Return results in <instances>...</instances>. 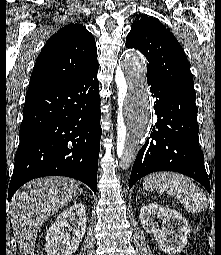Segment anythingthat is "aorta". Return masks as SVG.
Returning a JSON list of instances; mask_svg holds the SVG:
<instances>
[{
	"label": "aorta",
	"instance_id": "762f6f07",
	"mask_svg": "<svg viewBox=\"0 0 221 255\" xmlns=\"http://www.w3.org/2000/svg\"><path fill=\"white\" fill-rule=\"evenodd\" d=\"M116 83L124 122L117 143V156L125 164H130L151 126V99L142 54L134 50L125 53L116 73Z\"/></svg>",
	"mask_w": 221,
	"mask_h": 255
}]
</instances>
